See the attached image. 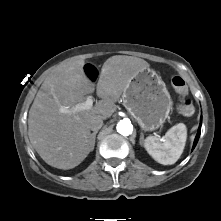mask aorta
Here are the masks:
<instances>
[{
	"instance_id": "obj_1",
	"label": "aorta",
	"mask_w": 221,
	"mask_h": 221,
	"mask_svg": "<svg viewBox=\"0 0 221 221\" xmlns=\"http://www.w3.org/2000/svg\"><path fill=\"white\" fill-rule=\"evenodd\" d=\"M116 129L121 135L128 136L132 133L133 126L129 120L124 119L118 122Z\"/></svg>"
}]
</instances>
